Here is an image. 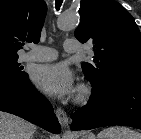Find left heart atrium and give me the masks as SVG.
Instances as JSON below:
<instances>
[{
  "label": "left heart atrium",
  "mask_w": 141,
  "mask_h": 139,
  "mask_svg": "<svg viewBox=\"0 0 141 139\" xmlns=\"http://www.w3.org/2000/svg\"><path fill=\"white\" fill-rule=\"evenodd\" d=\"M32 79L40 90L50 96L65 98L74 92L73 73L63 63L37 67Z\"/></svg>",
  "instance_id": "1"
}]
</instances>
